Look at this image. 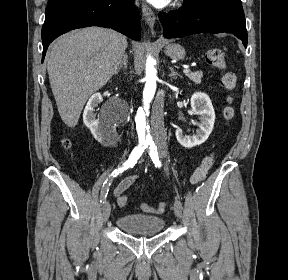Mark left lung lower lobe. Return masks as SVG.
I'll use <instances>...</instances> for the list:
<instances>
[{
    "instance_id": "1",
    "label": "left lung lower lobe",
    "mask_w": 288,
    "mask_h": 280,
    "mask_svg": "<svg viewBox=\"0 0 288 280\" xmlns=\"http://www.w3.org/2000/svg\"><path fill=\"white\" fill-rule=\"evenodd\" d=\"M164 36L178 38L198 33H231L247 47V30L244 14L218 5L210 0L183 6L169 13H159Z\"/></svg>"
}]
</instances>
